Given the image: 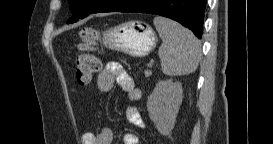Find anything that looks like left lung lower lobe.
Returning a JSON list of instances; mask_svg holds the SVG:
<instances>
[{
  "label": "left lung lower lobe",
  "mask_w": 273,
  "mask_h": 144,
  "mask_svg": "<svg viewBox=\"0 0 273 144\" xmlns=\"http://www.w3.org/2000/svg\"><path fill=\"white\" fill-rule=\"evenodd\" d=\"M206 3L207 0H97V7L90 14L113 11L157 14L181 23L200 39ZM78 20L70 18L67 23Z\"/></svg>",
  "instance_id": "obj_1"
}]
</instances>
